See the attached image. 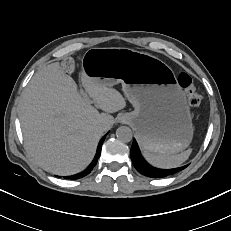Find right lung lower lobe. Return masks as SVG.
<instances>
[{
  "label": "right lung lower lobe",
  "mask_w": 231,
  "mask_h": 231,
  "mask_svg": "<svg viewBox=\"0 0 231 231\" xmlns=\"http://www.w3.org/2000/svg\"><path fill=\"white\" fill-rule=\"evenodd\" d=\"M105 137H106V135L103 136L102 139L100 140L96 156H95L94 160L92 161V163L88 166V168L86 170L76 174V175L67 176V177H65L66 179H79V178L86 176L87 174H89L91 172V170H93V168L97 164V160L101 154V147H102V144H103Z\"/></svg>",
  "instance_id": "right-lung-lower-lobe-1"
}]
</instances>
